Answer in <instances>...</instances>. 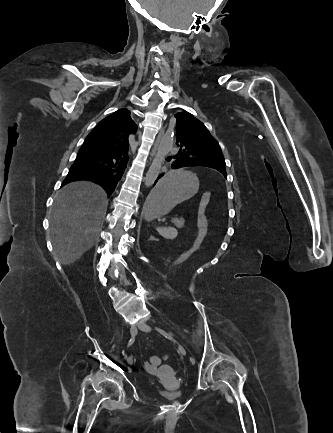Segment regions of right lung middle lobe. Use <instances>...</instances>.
<instances>
[{
  "label": "right lung middle lobe",
  "mask_w": 333,
  "mask_h": 433,
  "mask_svg": "<svg viewBox=\"0 0 333 433\" xmlns=\"http://www.w3.org/2000/svg\"><path fill=\"white\" fill-rule=\"evenodd\" d=\"M82 150H83V148L81 147L79 151H82Z\"/></svg>",
  "instance_id": "dd1d6c3e"
}]
</instances>
